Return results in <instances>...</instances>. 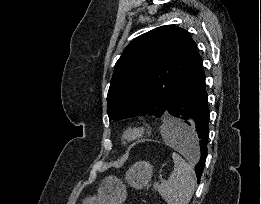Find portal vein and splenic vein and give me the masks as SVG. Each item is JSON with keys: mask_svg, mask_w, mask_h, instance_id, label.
I'll return each instance as SVG.
<instances>
[{"mask_svg": "<svg viewBox=\"0 0 261 204\" xmlns=\"http://www.w3.org/2000/svg\"><path fill=\"white\" fill-rule=\"evenodd\" d=\"M164 180H161L160 182H163ZM159 186V182H155L154 185H153V192L158 188Z\"/></svg>", "mask_w": 261, "mask_h": 204, "instance_id": "18ae733b", "label": "portal vein and splenic vein"}]
</instances>
